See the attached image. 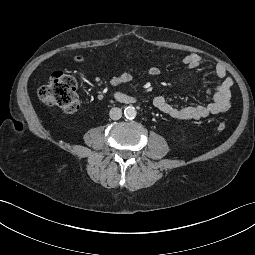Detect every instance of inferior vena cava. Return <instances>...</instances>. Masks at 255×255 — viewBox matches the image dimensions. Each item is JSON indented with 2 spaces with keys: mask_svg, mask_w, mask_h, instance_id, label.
I'll list each match as a JSON object with an SVG mask.
<instances>
[{
  "mask_svg": "<svg viewBox=\"0 0 255 255\" xmlns=\"http://www.w3.org/2000/svg\"><path fill=\"white\" fill-rule=\"evenodd\" d=\"M109 116L112 120H119L122 117V110L120 108L114 107L110 110Z\"/></svg>",
  "mask_w": 255,
  "mask_h": 255,
  "instance_id": "inferior-vena-cava-1",
  "label": "inferior vena cava"
}]
</instances>
